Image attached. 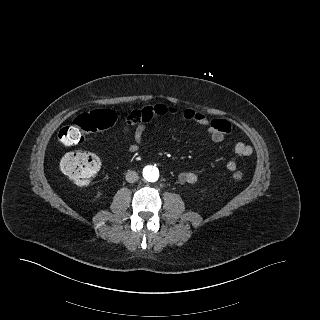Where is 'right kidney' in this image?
<instances>
[{
  "mask_svg": "<svg viewBox=\"0 0 320 320\" xmlns=\"http://www.w3.org/2000/svg\"><path fill=\"white\" fill-rule=\"evenodd\" d=\"M100 196H101V193L98 194V197H100Z\"/></svg>",
  "mask_w": 320,
  "mask_h": 320,
  "instance_id": "1",
  "label": "right kidney"
}]
</instances>
